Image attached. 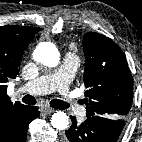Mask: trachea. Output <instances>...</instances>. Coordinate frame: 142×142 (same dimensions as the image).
<instances>
[{
    "mask_svg": "<svg viewBox=\"0 0 142 142\" xmlns=\"http://www.w3.org/2000/svg\"><path fill=\"white\" fill-rule=\"evenodd\" d=\"M22 101L26 104H29V105H34L36 104V99L31 96V95H26L22 98ZM50 105L51 107L55 108V109H61V110H64V109H67L68 108V105L67 103L61 101V100H58V99H54V100H51L50 101Z\"/></svg>",
    "mask_w": 142,
    "mask_h": 142,
    "instance_id": "1",
    "label": "trachea"
}]
</instances>
